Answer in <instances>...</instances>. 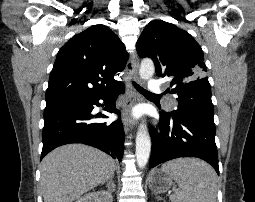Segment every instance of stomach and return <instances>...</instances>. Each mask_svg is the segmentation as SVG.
I'll return each instance as SVG.
<instances>
[{"mask_svg":"<svg viewBox=\"0 0 255 202\" xmlns=\"http://www.w3.org/2000/svg\"><path fill=\"white\" fill-rule=\"evenodd\" d=\"M149 188L156 194L170 191L173 185V178L160 169L153 170L148 178Z\"/></svg>","mask_w":255,"mask_h":202,"instance_id":"stomach-1","label":"stomach"}]
</instances>
